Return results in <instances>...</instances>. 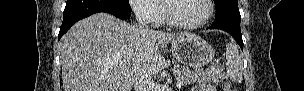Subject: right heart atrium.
<instances>
[{
	"label": "right heart atrium",
	"mask_w": 304,
	"mask_h": 91,
	"mask_svg": "<svg viewBox=\"0 0 304 91\" xmlns=\"http://www.w3.org/2000/svg\"><path fill=\"white\" fill-rule=\"evenodd\" d=\"M131 7L137 16L148 23L161 21V10L156 0H132Z\"/></svg>",
	"instance_id": "right-heart-atrium-1"
}]
</instances>
